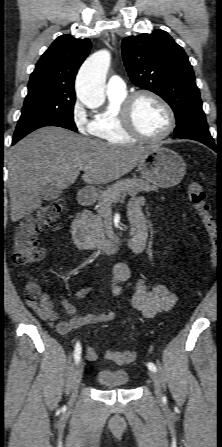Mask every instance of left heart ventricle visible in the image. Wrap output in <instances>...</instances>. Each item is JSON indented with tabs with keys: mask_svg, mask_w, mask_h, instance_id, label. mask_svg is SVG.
<instances>
[{
	"mask_svg": "<svg viewBox=\"0 0 222 447\" xmlns=\"http://www.w3.org/2000/svg\"><path fill=\"white\" fill-rule=\"evenodd\" d=\"M136 127L147 136H159L168 124V117L163 107L150 97H140L133 109Z\"/></svg>",
	"mask_w": 222,
	"mask_h": 447,
	"instance_id": "left-heart-ventricle-1",
	"label": "left heart ventricle"
}]
</instances>
